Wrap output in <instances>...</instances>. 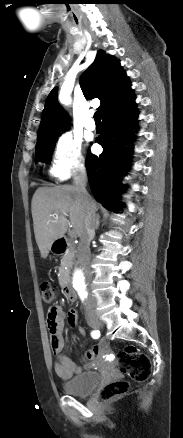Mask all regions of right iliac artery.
I'll return each mask as SVG.
<instances>
[{
	"instance_id": "82829eb1",
	"label": "right iliac artery",
	"mask_w": 183,
	"mask_h": 438,
	"mask_svg": "<svg viewBox=\"0 0 183 438\" xmlns=\"http://www.w3.org/2000/svg\"><path fill=\"white\" fill-rule=\"evenodd\" d=\"M91 336H92V338H94V339H98V338L100 337V332H99L98 330H93V331L91 332Z\"/></svg>"
}]
</instances>
